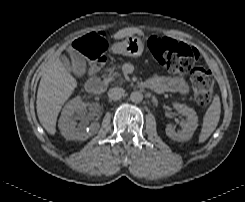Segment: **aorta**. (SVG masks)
<instances>
[{
    "instance_id": "obj_1",
    "label": "aorta",
    "mask_w": 245,
    "mask_h": 202,
    "mask_svg": "<svg viewBox=\"0 0 245 202\" xmlns=\"http://www.w3.org/2000/svg\"><path fill=\"white\" fill-rule=\"evenodd\" d=\"M130 100L134 103H140L143 100V94L140 91H133Z\"/></svg>"
}]
</instances>
